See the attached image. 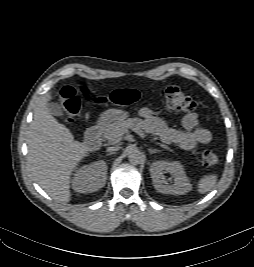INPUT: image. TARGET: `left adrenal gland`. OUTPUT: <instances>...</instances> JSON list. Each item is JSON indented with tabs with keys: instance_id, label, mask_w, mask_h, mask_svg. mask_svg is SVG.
Returning a JSON list of instances; mask_svg holds the SVG:
<instances>
[{
	"instance_id": "1",
	"label": "left adrenal gland",
	"mask_w": 254,
	"mask_h": 267,
	"mask_svg": "<svg viewBox=\"0 0 254 267\" xmlns=\"http://www.w3.org/2000/svg\"><path fill=\"white\" fill-rule=\"evenodd\" d=\"M148 151H149L150 154H153V153H159V152H160V150H157V149H151V148H149Z\"/></svg>"
}]
</instances>
